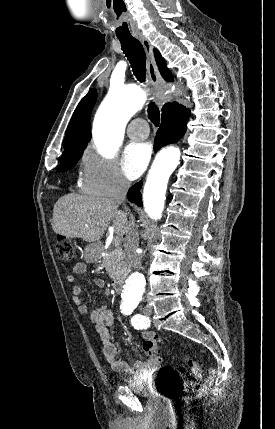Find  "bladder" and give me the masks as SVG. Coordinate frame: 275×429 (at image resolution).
I'll use <instances>...</instances> for the list:
<instances>
[{"instance_id": "1", "label": "bladder", "mask_w": 275, "mask_h": 429, "mask_svg": "<svg viewBox=\"0 0 275 429\" xmlns=\"http://www.w3.org/2000/svg\"><path fill=\"white\" fill-rule=\"evenodd\" d=\"M130 391L149 403H178L180 389L177 377L130 378Z\"/></svg>"}]
</instances>
